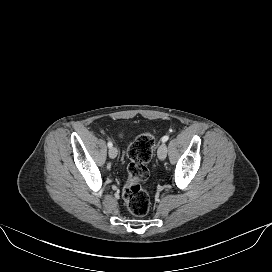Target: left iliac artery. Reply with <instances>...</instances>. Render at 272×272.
<instances>
[{"label":"left iliac artery","mask_w":272,"mask_h":272,"mask_svg":"<svg viewBox=\"0 0 272 272\" xmlns=\"http://www.w3.org/2000/svg\"><path fill=\"white\" fill-rule=\"evenodd\" d=\"M169 139V136L165 135L162 137V142H166Z\"/></svg>","instance_id":"44dca946"}]
</instances>
